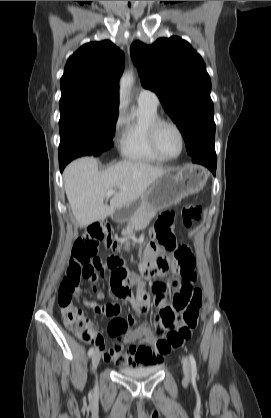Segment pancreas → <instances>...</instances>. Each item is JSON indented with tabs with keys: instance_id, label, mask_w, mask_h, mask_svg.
<instances>
[{
	"instance_id": "obj_1",
	"label": "pancreas",
	"mask_w": 271,
	"mask_h": 418,
	"mask_svg": "<svg viewBox=\"0 0 271 418\" xmlns=\"http://www.w3.org/2000/svg\"><path fill=\"white\" fill-rule=\"evenodd\" d=\"M156 211L148 207H140L129 218L127 226L122 230V243H127L133 238L134 231H138L147 226L150 220L155 216Z\"/></svg>"
}]
</instances>
